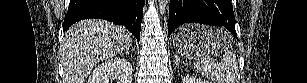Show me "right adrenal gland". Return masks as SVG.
<instances>
[{
	"mask_svg": "<svg viewBox=\"0 0 307 83\" xmlns=\"http://www.w3.org/2000/svg\"><path fill=\"white\" fill-rule=\"evenodd\" d=\"M124 54H126V55L129 56V49H127L126 51L122 52V53H121V56L124 55Z\"/></svg>",
	"mask_w": 307,
	"mask_h": 83,
	"instance_id": "1",
	"label": "right adrenal gland"
}]
</instances>
